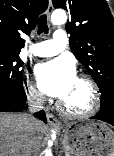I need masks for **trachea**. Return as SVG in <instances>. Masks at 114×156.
<instances>
[{
  "mask_svg": "<svg viewBox=\"0 0 114 156\" xmlns=\"http://www.w3.org/2000/svg\"><path fill=\"white\" fill-rule=\"evenodd\" d=\"M48 33L47 17L46 15H41L38 19V34Z\"/></svg>",
  "mask_w": 114,
  "mask_h": 156,
  "instance_id": "trachea-1",
  "label": "trachea"
}]
</instances>
